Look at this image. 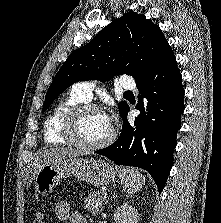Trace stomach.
Instances as JSON below:
<instances>
[{"label":"stomach","mask_w":221,"mask_h":223,"mask_svg":"<svg viewBox=\"0 0 221 223\" xmlns=\"http://www.w3.org/2000/svg\"><path fill=\"white\" fill-rule=\"evenodd\" d=\"M115 175L116 170L103 160L66 158L43 166L35 176V188L46 196L64 177L71 176L94 186H103L113 182Z\"/></svg>","instance_id":"stomach-1"}]
</instances>
